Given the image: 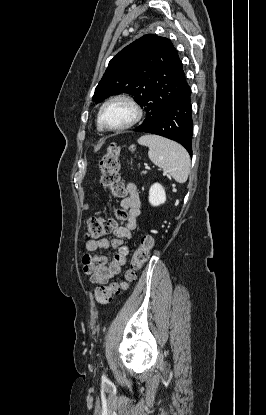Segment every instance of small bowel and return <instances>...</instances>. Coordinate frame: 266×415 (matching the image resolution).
I'll return each instance as SVG.
<instances>
[{
  "label": "small bowel",
  "instance_id": "c3829d8e",
  "mask_svg": "<svg viewBox=\"0 0 266 415\" xmlns=\"http://www.w3.org/2000/svg\"><path fill=\"white\" fill-rule=\"evenodd\" d=\"M122 208L127 216L115 228V237L111 240L101 238L91 239L86 242V253L82 257L83 271L90 277L93 284H106L112 278L120 274L126 263L128 248L123 245L124 239L131 238V232L136 227V221L141 212V201L135 185H128V196L121 201ZM98 249L117 250L112 260L106 255H92Z\"/></svg>",
  "mask_w": 266,
  "mask_h": 415
}]
</instances>
